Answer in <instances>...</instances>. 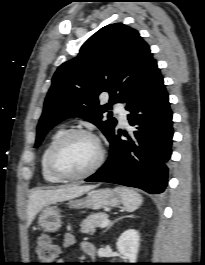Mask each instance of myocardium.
Returning a JSON list of instances; mask_svg holds the SVG:
<instances>
[{"instance_id":"obj_1","label":"myocardium","mask_w":205,"mask_h":265,"mask_svg":"<svg viewBox=\"0 0 205 265\" xmlns=\"http://www.w3.org/2000/svg\"><path fill=\"white\" fill-rule=\"evenodd\" d=\"M79 135L90 137L96 142V144L98 145V149H99L98 158L96 162L88 170L80 174L70 175V174L63 173L60 170H58V168L55 166L54 157L57 151L60 149V147L65 142H67L72 137L79 136ZM104 159H105V150H104L103 144L101 140L99 139V137L90 130L77 128V129H70V130L65 131L60 137L56 139V141L51 145L48 151L46 163H47V167L50 173L53 176H55L57 179L61 181H78V180L86 179L92 176L93 174H95L103 165Z\"/></svg>"}]
</instances>
